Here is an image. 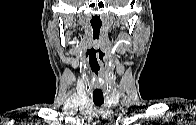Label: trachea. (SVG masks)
I'll use <instances>...</instances> for the list:
<instances>
[{"label":"trachea","mask_w":196,"mask_h":125,"mask_svg":"<svg viewBox=\"0 0 196 125\" xmlns=\"http://www.w3.org/2000/svg\"><path fill=\"white\" fill-rule=\"evenodd\" d=\"M93 102L96 106H101L104 103V101H99V100H93Z\"/></svg>","instance_id":"obj_1"}]
</instances>
